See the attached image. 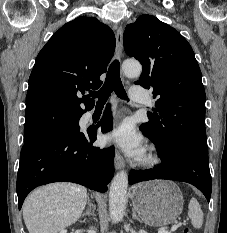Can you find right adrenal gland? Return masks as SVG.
Segmentation results:
<instances>
[{"mask_svg": "<svg viewBox=\"0 0 227 233\" xmlns=\"http://www.w3.org/2000/svg\"><path fill=\"white\" fill-rule=\"evenodd\" d=\"M88 209L81 215V217H85V216H94V209L95 206L94 204H92V202L90 201V199L88 198ZM86 219H84L85 222Z\"/></svg>", "mask_w": 227, "mask_h": 233, "instance_id": "1", "label": "right adrenal gland"}]
</instances>
